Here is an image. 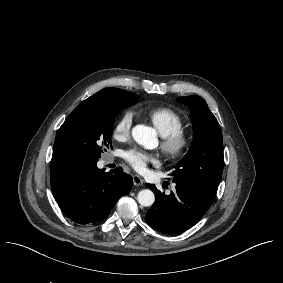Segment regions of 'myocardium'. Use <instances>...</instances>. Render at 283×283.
<instances>
[{
	"label": "myocardium",
	"instance_id": "obj_1",
	"mask_svg": "<svg viewBox=\"0 0 283 283\" xmlns=\"http://www.w3.org/2000/svg\"><path fill=\"white\" fill-rule=\"evenodd\" d=\"M192 141L191 132L185 128H180L163 137L161 150L167 159L178 161L188 154Z\"/></svg>",
	"mask_w": 283,
	"mask_h": 283
}]
</instances>
